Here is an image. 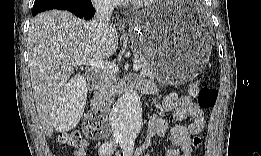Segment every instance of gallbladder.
Wrapping results in <instances>:
<instances>
[{
	"mask_svg": "<svg viewBox=\"0 0 261 156\" xmlns=\"http://www.w3.org/2000/svg\"><path fill=\"white\" fill-rule=\"evenodd\" d=\"M83 75H76L69 80L64 90L59 94L58 103L53 104L50 122L58 131H67L75 127L83 117L87 102L86 79ZM74 101V102H73Z\"/></svg>",
	"mask_w": 261,
	"mask_h": 156,
	"instance_id": "gallbladder-1",
	"label": "gallbladder"
}]
</instances>
